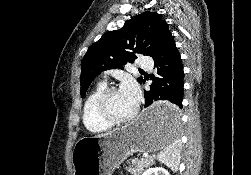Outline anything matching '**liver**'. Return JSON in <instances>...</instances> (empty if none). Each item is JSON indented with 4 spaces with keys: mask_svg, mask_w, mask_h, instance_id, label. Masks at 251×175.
Wrapping results in <instances>:
<instances>
[{
    "mask_svg": "<svg viewBox=\"0 0 251 175\" xmlns=\"http://www.w3.org/2000/svg\"><path fill=\"white\" fill-rule=\"evenodd\" d=\"M102 135H107V133H100V135H97V137H102Z\"/></svg>",
    "mask_w": 251,
    "mask_h": 175,
    "instance_id": "liver-1",
    "label": "liver"
}]
</instances>
